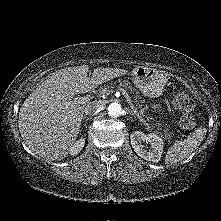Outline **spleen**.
<instances>
[{"instance_id": "spleen-1", "label": "spleen", "mask_w": 221, "mask_h": 221, "mask_svg": "<svg viewBox=\"0 0 221 221\" xmlns=\"http://www.w3.org/2000/svg\"><path fill=\"white\" fill-rule=\"evenodd\" d=\"M206 134V129L198 127L182 141H176L167 151L165 163H177L188 158L201 144Z\"/></svg>"}]
</instances>
